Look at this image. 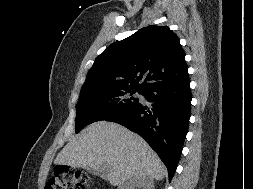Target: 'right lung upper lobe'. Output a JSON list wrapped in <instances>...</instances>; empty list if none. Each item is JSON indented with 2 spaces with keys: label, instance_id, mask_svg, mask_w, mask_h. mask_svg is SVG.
<instances>
[{
  "label": "right lung upper lobe",
  "instance_id": "obj_1",
  "mask_svg": "<svg viewBox=\"0 0 253 189\" xmlns=\"http://www.w3.org/2000/svg\"><path fill=\"white\" fill-rule=\"evenodd\" d=\"M179 38L167 26L144 27L112 43L88 71L81 93L106 86H126L141 91L176 82L188 76ZM144 80L143 83H139Z\"/></svg>",
  "mask_w": 253,
  "mask_h": 189
}]
</instances>
